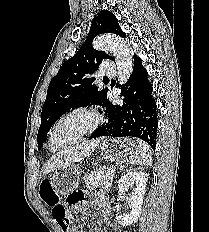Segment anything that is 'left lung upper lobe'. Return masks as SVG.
I'll list each match as a JSON object with an SVG mask.
<instances>
[{
  "mask_svg": "<svg viewBox=\"0 0 209 232\" xmlns=\"http://www.w3.org/2000/svg\"><path fill=\"white\" fill-rule=\"evenodd\" d=\"M102 33L126 36L117 18L110 11L103 10L93 19L87 39L79 51L61 66L57 75L50 81L41 113V125L37 136L38 148L43 146L54 122L70 109L90 104L106 107L108 89L99 90L92 76L103 60H114L112 56L92 47V40Z\"/></svg>",
  "mask_w": 209,
  "mask_h": 232,
  "instance_id": "left-lung-upper-lobe-1",
  "label": "left lung upper lobe"
}]
</instances>
